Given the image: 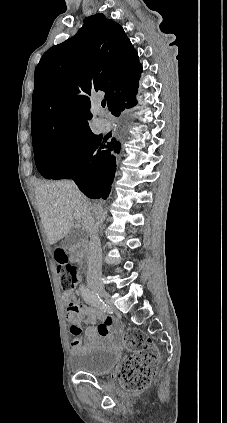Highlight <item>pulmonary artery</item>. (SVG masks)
<instances>
[{"mask_svg":"<svg viewBox=\"0 0 227 423\" xmlns=\"http://www.w3.org/2000/svg\"><path fill=\"white\" fill-rule=\"evenodd\" d=\"M101 111H102V109L99 107V108H97V109L95 110V113H96V114H98V113H100ZM96 124H97V127H98L100 130H102V131H104V130L108 129V128H109V126H110V123H109V121H108L107 119H98V120H97V122H96Z\"/></svg>","mask_w":227,"mask_h":423,"instance_id":"obj_1","label":"pulmonary artery"}]
</instances>
